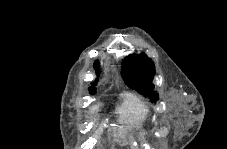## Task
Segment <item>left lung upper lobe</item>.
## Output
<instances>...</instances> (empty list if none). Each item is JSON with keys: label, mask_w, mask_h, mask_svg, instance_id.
<instances>
[{"label": "left lung upper lobe", "mask_w": 227, "mask_h": 149, "mask_svg": "<svg viewBox=\"0 0 227 149\" xmlns=\"http://www.w3.org/2000/svg\"><path fill=\"white\" fill-rule=\"evenodd\" d=\"M121 75L127 86L149 98L151 102L158 100L152 83L154 63L144 53L127 56L122 63Z\"/></svg>", "instance_id": "5c2ea615"}]
</instances>
